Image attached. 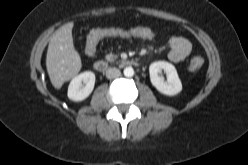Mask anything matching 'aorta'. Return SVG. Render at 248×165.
<instances>
[{
    "instance_id": "762f6f07",
    "label": "aorta",
    "mask_w": 248,
    "mask_h": 165,
    "mask_svg": "<svg viewBox=\"0 0 248 165\" xmlns=\"http://www.w3.org/2000/svg\"><path fill=\"white\" fill-rule=\"evenodd\" d=\"M123 73L126 77H132L134 75V69L132 67H126Z\"/></svg>"
}]
</instances>
